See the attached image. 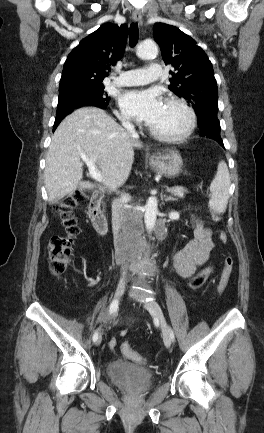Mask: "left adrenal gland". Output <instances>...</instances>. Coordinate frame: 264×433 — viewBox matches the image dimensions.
Here are the masks:
<instances>
[{
    "instance_id": "left-adrenal-gland-1",
    "label": "left adrenal gland",
    "mask_w": 264,
    "mask_h": 433,
    "mask_svg": "<svg viewBox=\"0 0 264 433\" xmlns=\"http://www.w3.org/2000/svg\"><path fill=\"white\" fill-rule=\"evenodd\" d=\"M164 198H165V201L166 202H168V201H176L177 200V198H175V197H172V196H166V195H164Z\"/></svg>"
}]
</instances>
